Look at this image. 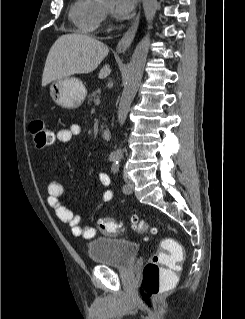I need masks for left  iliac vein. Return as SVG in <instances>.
<instances>
[{"instance_id":"obj_1","label":"left iliac vein","mask_w":245,"mask_h":319,"mask_svg":"<svg viewBox=\"0 0 245 319\" xmlns=\"http://www.w3.org/2000/svg\"><path fill=\"white\" fill-rule=\"evenodd\" d=\"M124 180H125L126 185H127V190L125 192L132 193V191L134 189V184H133L132 180L126 175L124 176Z\"/></svg>"}]
</instances>
